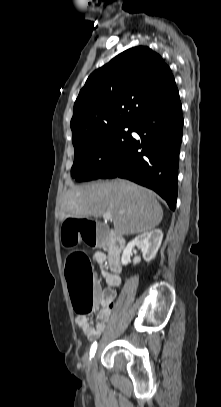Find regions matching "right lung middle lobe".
<instances>
[{"label": "right lung middle lobe", "instance_id": "dd1d6c3e", "mask_svg": "<svg viewBox=\"0 0 221 407\" xmlns=\"http://www.w3.org/2000/svg\"><path fill=\"white\" fill-rule=\"evenodd\" d=\"M133 129V124L121 125L74 143L72 177L79 182L100 178L127 150Z\"/></svg>", "mask_w": 221, "mask_h": 407}]
</instances>
